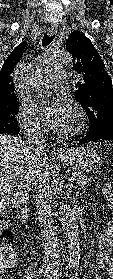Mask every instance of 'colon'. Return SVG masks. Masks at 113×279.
<instances>
[{
  "instance_id": "5ec220e1",
  "label": "colon",
  "mask_w": 113,
  "mask_h": 279,
  "mask_svg": "<svg viewBox=\"0 0 113 279\" xmlns=\"http://www.w3.org/2000/svg\"><path fill=\"white\" fill-rule=\"evenodd\" d=\"M6 236V224L0 219V271L5 261H12L14 259L13 248L11 244L6 241Z\"/></svg>"
}]
</instances>
